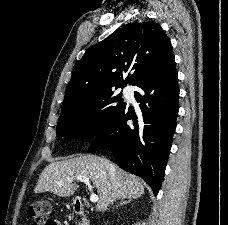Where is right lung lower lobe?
<instances>
[{
    "label": "right lung lower lobe",
    "instance_id": "1",
    "mask_svg": "<svg viewBox=\"0 0 228 225\" xmlns=\"http://www.w3.org/2000/svg\"><path fill=\"white\" fill-rule=\"evenodd\" d=\"M140 112L126 107L115 120L94 137L89 152L112 151L116 163L140 176L157 195L172 144L178 113V75L174 55L137 84ZM132 119L133 125H127Z\"/></svg>",
    "mask_w": 228,
    "mask_h": 225
}]
</instances>
